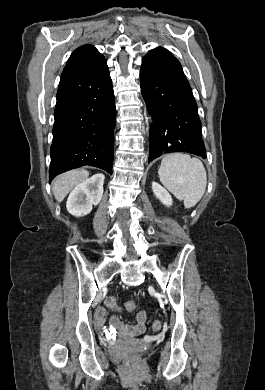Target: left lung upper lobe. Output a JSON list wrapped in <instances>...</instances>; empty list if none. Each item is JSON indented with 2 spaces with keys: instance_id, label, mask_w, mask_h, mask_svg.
<instances>
[{
  "instance_id": "1",
  "label": "left lung upper lobe",
  "mask_w": 265,
  "mask_h": 390,
  "mask_svg": "<svg viewBox=\"0 0 265 390\" xmlns=\"http://www.w3.org/2000/svg\"><path fill=\"white\" fill-rule=\"evenodd\" d=\"M149 53H160V54H166V55L173 56V55L171 54V52H169L167 49L162 48V47H158V48H156V49H153V50H151Z\"/></svg>"
}]
</instances>
